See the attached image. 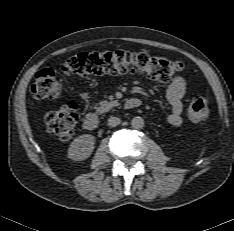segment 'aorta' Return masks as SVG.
Returning a JSON list of instances; mask_svg holds the SVG:
<instances>
[{
	"mask_svg": "<svg viewBox=\"0 0 234 231\" xmlns=\"http://www.w3.org/2000/svg\"><path fill=\"white\" fill-rule=\"evenodd\" d=\"M131 126L134 128V129H142L144 127V120L142 117H134L132 120H131Z\"/></svg>",
	"mask_w": 234,
	"mask_h": 231,
	"instance_id": "762f6f07",
	"label": "aorta"
}]
</instances>
